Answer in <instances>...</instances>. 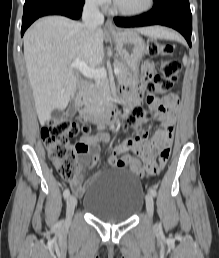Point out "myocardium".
Returning <instances> with one entry per match:
<instances>
[{"label":"myocardium","instance_id":"myocardium-1","mask_svg":"<svg viewBox=\"0 0 219 258\" xmlns=\"http://www.w3.org/2000/svg\"><path fill=\"white\" fill-rule=\"evenodd\" d=\"M155 0H147V3L144 7L140 8V9H135V10H128V9H124L122 7H120L118 5V3L116 2V0L113 1V9L116 13L121 14L123 16H139L142 14L147 13L148 11H150L154 5Z\"/></svg>","mask_w":219,"mask_h":258}]
</instances>
